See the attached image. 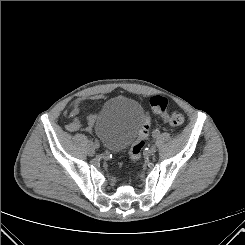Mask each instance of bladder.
I'll list each match as a JSON object with an SVG mask.
<instances>
[{"instance_id":"obj_1","label":"bladder","mask_w":245,"mask_h":245,"mask_svg":"<svg viewBox=\"0 0 245 245\" xmlns=\"http://www.w3.org/2000/svg\"><path fill=\"white\" fill-rule=\"evenodd\" d=\"M144 122L143 109L133 99L107 101L95 118L94 129L103 144L112 151L125 149L139 134Z\"/></svg>"}]
</instances>
